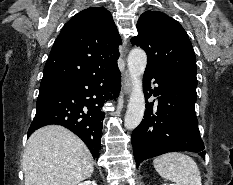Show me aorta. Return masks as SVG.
Wrapping results in <instances>:
<instances>
[{
    "label": "aorta",
    "mask_w": 233,
    "mask_h": 185,
    "mask_svg": "<svg viewBox=\"0 0 233 185\" xmlns=\"http://www.w3.org/2000/svg\"><path fill=\"white\" fill-rule=\"evenodd\" d=\"M128 70L132 91L124 119V126L133 130L141 123L145 112V97L142 87V76L147 65V56L141 48H134L128 55Z\"/></svg>",
    "instance_id": "obj_1"
}]
</instances>
